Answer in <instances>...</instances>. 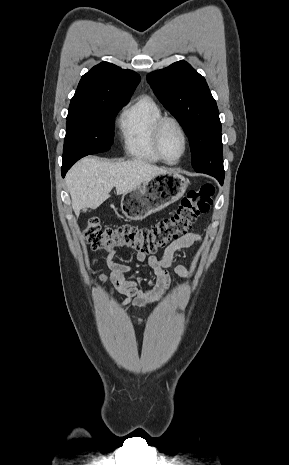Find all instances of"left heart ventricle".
<instances>
[{
    "mask_svg": "<svg viewBox=\"0 0 289 465\" xmlns=\"http://www.w3.org/2000/svg\"><path fill=\"white\" fill-rule=\"evenodd\" d=\"M183 138L178 128L167 123L162 134V151L166 158L175 160L183 151Z\"/></svg>",
    "mask_w": 289,
    "mask_h": 465,
    "instance_id": "obj_1",
    "label": "left heart ventricle"
}]
</instances>
